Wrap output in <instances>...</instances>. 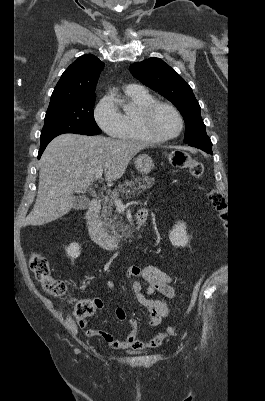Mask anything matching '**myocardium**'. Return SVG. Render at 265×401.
Here are the masks:
<instances>
[{"instance_id":"obj_1","label":"myocardium","mask_w":265,"mask_h":401,"mask_svg":"<svg viewBox=\"0 0 265 401\" xmlns=\"http://www.w3.org/2000/svg\"><path fill=\"white\" fill-rule=\"evenodd\" d=\"M160 107L170 110L178 118L179 131L176 135L167 137V138H163V139H158V138H155L151 134L150 129H149V119L152 116V114ZM139 125H140V128H141L143 134L145 135L147 141L154 142V143H164V142L172 141V140L178 138L182 134L183 129H184V119H183L182 114L173 105L166 103V102H162V101H154L153 103H151L150 105H148L141 111L140 116H139Z\"/></svg>"}]
</instances>
